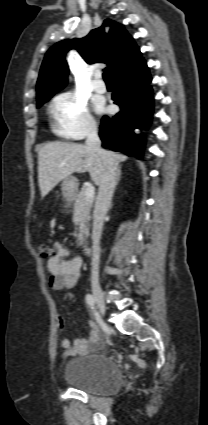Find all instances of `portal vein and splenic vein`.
Instances as JSON below:
<instances>
[{
  "label": "portal vein and splenic vein",
  "instance_id": "1",
  "mask_svg": "<svg viewBox=\"0 0 208 425\" xmlns=\"http://www.w3.org/2000/svg\"><path fill=\"white\" fill-rule=\"evenodd\" d=\"M95 188L93 186H88L85 192V196L87 199L94 198Z\"/></svg>",
  "mask_w": 208,
  "mask_h": 425
}]
</instances>
